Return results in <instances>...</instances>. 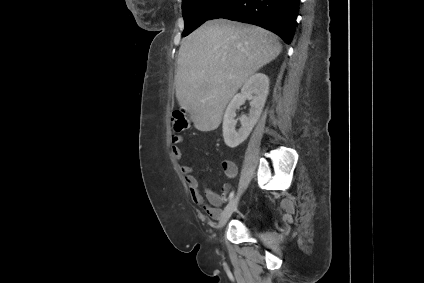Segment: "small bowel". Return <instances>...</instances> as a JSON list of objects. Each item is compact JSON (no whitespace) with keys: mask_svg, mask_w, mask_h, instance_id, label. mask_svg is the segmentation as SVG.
Segmentation results:
<instances>
[{"mask_svg":"<svg viewBox=\"0 0 424 283\" xmlns=\"http://www.w3.org/2000/svg\"><path fill=\"white\" fill-rule=\"evenodd\" d=\"M183 142V137L180 135L172 136V152L177 159H181L182 151L179 145ZM222 168L225 175L229 179H234L237 176L238 169L236 164L231 160H223ZM181 171L185 177L189 192L193 201L200 206H203L206 213L214 220H218L222 215L221 206L227 199L230 184L223 187L222 193L219 194L205 183H200L193 174V168L188 165H182ZM230 195V194H229ZM209 203V205L206 203Z\"/></svg>","mask_w":424,"mask_h":283,"instance_id":"obj_1","label":"small bowel"}]
</instances>
